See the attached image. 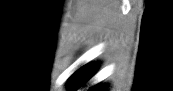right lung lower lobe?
Returning <instances> with one entry per match:
<instances>
[{"mask_svg":"<svg viewBox=\"0 0 173 91\" xmlns=\"http://www.w3.org/2000/svg\"><path fill=\"white\" fill-rule=\"evenodd\" d=\"M97 69L96 64H88L77 70L69 79L68 86L71 90H76L84 85L88 79L95 73ZM105 86H94L88 91H100Z\"/></svg>","mask_w":173,"mask_h":91,"instance_id":"right-lung-lower-lobe-1","label":"right lung lower lobe"}]
</instances>
